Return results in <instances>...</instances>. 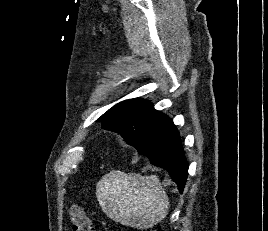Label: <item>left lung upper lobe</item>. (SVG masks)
I'll return each instance as SVG.
<instances>
[{"instance_id": "obj_1", "label": "left lung upper lobe", "mask_w": 268, "mask_h": 231, "mask_svg": "<svg viewBox=\"0 0 268 231\" xmlns=\"http://www.w3.org/2000/svg\"><path fill=\"white\" fill-rule=\"evenodd\" d=\"M167 118L150 102L130 99L116 104L97 121L102 122L105 129L119 133L133 146L149 138Z\"/></svg>"}]
</instances>
